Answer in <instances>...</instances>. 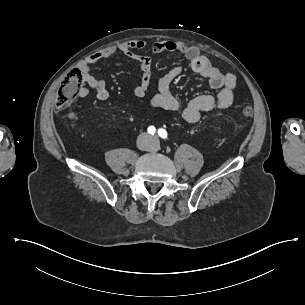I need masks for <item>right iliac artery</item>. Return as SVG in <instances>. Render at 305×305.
Returning a JSON list of instances; mask_svg holds the SVG:
<instances>
[{
  "label": "right iliac artery",
  "instance_id": "1",
  "mask_svg": "<svg viewBox=\"0 0 305 305\" xmlns=\"http://www.w3.org/2000/svg\"><path fill=\"white\" fill-rule=\"evenodd\" d=\"M156 132V129L154 126H149L148 127V133L151 135H154V133Z\"/></svg>",
  "mask_w": 305,
  "mask_h": 305
}]
</instances>
